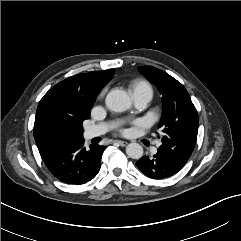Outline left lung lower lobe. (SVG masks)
Listing matches in <instances>:
<instances>
[{
    "label": "left lung lower lobe",
    "instance_id": "obj_1",
    "mask_svg": "<svg viewBox=\"0 0 241 241\" xmlns=\"http://www.w3.org/2000/svg\"><path fill=\"white\" fill-rule=\"evenodd\" d=\"M138 169L152 179H163L176 174L182 167L160 152L152 157L143 156L136 162Z\"/></svg>",
    "mask_w": 241,
    "mask_h": 241
}]
</instances>
